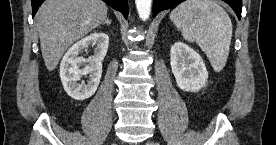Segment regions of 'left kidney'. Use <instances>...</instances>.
<instances>
[{"label": "left kidney", "instance_id": "left-kidney-1", "mask_svg": "<svg viewBox=\"0 0 276 145\" xmlns=\"http://www.w3.org/2000/svg\"><path fill=\"white\" fill-rule=\"evenodd\" d=\"M170 64L177 86L183 91L197 92L208 79V71L201 56L185 43L178 41L171 47Z\"/></svg>", "mask_w": 276, "mask_h": 145}]
</instances>
